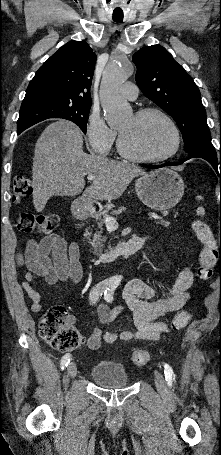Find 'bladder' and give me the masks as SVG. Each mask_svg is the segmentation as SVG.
Instances as JSON below:
<instances>
[{
	"instance_id": "1",
	"label": "bladder",
	"mask_w": 221,
	"mask_h": 455,
	"mask_svg": "<svg viewBox=\"0 0 221 455\" xmlns=\"http://www.w3.org/2000/svg\"><path fill=\"white\" fill-rule=\"evenodd\" d=\"M92 380L107 388L125 387L128 385V376L124 367L110 362H98L90 370Z\"/></svg>"
}]
</instances>
